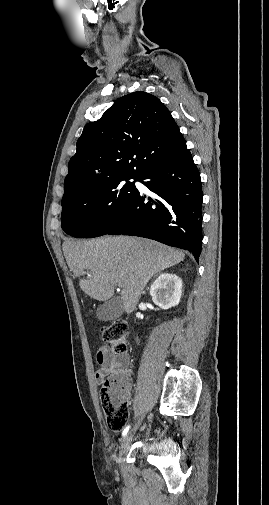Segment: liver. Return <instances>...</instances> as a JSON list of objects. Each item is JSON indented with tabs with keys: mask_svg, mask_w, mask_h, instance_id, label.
Here are the masks:
<instances>
[{
	"mask_svg": "<svg viewBox=\"0 0 269 505\" xmlns=\"http://www.w3.org/2000/svg\"><path fill=\"white\" fill-rule=\"evenodd\" d=\"M63 252L82 291L108 301L114 288L122 289L124 310L136 309L143 289L157 273L184 260L185 254L162 243L129 236H104L86 241H65Z\"/></svg>",
	"mask_w": 269,
	"mask_h": 505,
	"instance_id": "6515ba94",
	"label": "liver"
}]
</instances>
